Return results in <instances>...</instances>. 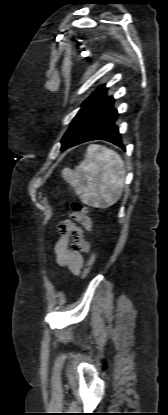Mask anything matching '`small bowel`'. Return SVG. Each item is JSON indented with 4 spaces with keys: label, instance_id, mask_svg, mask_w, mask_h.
Here are the masks:
<instances>
[{
    "label": "small bowel",
    "instance_id": "obj_1",
    "mask_svg": "<svg viewBox=\"0 0 168 415\" xmlns=\"http://www.w3.org/2000/svg\"><path fill=\"white\" fill-rule=\"evenodd\" d=\"M71 215L85 229H91V220L86 214H81L80 211L75 210ZM59 230L63 235L54 247L56 261L73 274H78L84 264L83 253L90 250V243L84 240L82 229L72 222H62Z\"/></svg>",
    "mask_w": 168,
    "mask_h": 415
}]
</instances>
